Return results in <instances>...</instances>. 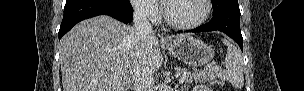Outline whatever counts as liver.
I'll list each match as a JSON object with an SVG mask.
<instances>
[{
	"label": "liver",
	"instance_id": "6515ba94",
	"mask_svg": "<svg viewBox=\"0 0 304 91\" xmlns=\"http://www.w3.org/2000/svg\"><path fill=\"white\" fill-rule=\"evenodd\" d=\"M60 62L63 91H128L139 64L156 71L163 57L156 34L140 47L134 27L101 15L81 21L62 37Z\"/></svg>",
	"mask_w": 304,
	"mask_h": 91
}]
</instances>
